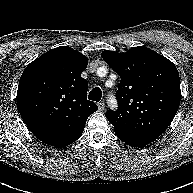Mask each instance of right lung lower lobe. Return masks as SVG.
Here are the masks:
<instances>
[{"instance_id":"98d812e1","label":"right lung lower lobe","mask_w":193,"mask_h":193,"mask_svg":"<svg viewBox=\"0 0 193 193\" xmlns=\"http://www.w3.org/2000/svg\"><path fill=\"white\" fill-rule=\"evenodd\" d=\"M81 135L82 133L67 140H60V141L54 142L53 144H51V146H54L57 148L67 146L72 142L76 141Z\"/></svg>"}]
</instances>
